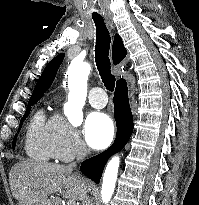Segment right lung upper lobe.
I'll use <instances>...</instances> for the list:
<instances>
[{
	"label": "right lung upper lobe",
	"instance_id": "1",
	"mask_svg": "<svg viewBox=\"0 0 199 205\" xmlns=\"http://www.w3.org/2000/svg\"><path fill=\"white\" fill-rule=\"evenodd\" d=\"M126 54L127 51L123 45L122 39L118 34H116L112 46L113 63L115 65L120 63L125 58ZM64 56V53L59 54L45 67L43 73L37 81L29 102L37 99L39 100L44 95V92L49 89L55 78L57 70L64 59Z\"/></svg>",
	"mask_w": 199,
	"mask_h": 205
}]
</instances>
